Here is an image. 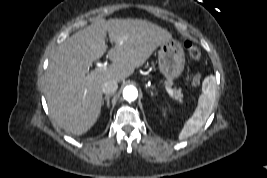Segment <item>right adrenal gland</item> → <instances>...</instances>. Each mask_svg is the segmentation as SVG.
Segmentation results:
<instances>
[{
    "instance_id": "1",
    "label": "right adrenal gland",
    "mask_w": 267,
    "mask_h": 178,
    "mask_svg": "<svg viewBox=\"0 0 267 178\" xmlns=\"http://www.w3.org/2000/svg\"><path fill=\"white\" fill-rule=\"evenodd\" d=\"M110 97L111 95H106L103 99H102V106H104V102L106 101V105L109 108L110 107Z\"/></svg>"
}]
</instances>
